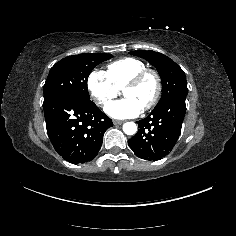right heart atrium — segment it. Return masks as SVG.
Here are the masks:
<instances>
[{
    "instance_id": "obj_1",
    "label": "right heart atrium",
    "mask_w": 236,
    "mask_h": 236,
    "mask_svg": "<svg viewBox=\"0 0 236 236\" xmlns=\"http://www.w3.org/2000/svg\"><path fill=\"white\" fill-rule=\"evenodd\" d=\"M87 87L94 103L101 108L106 107L119 95V90L103 71H92L88 76Z\"/></svg>"
}]
</instances>
